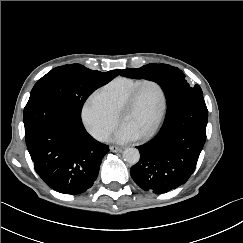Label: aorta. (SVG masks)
<instances>
[{
    "mask_svg": "<svg viewBox=\"0 0 243 243\" xmlns=\"http://www.w3.org/2000/svg\"><path fill=\"white\" fill-rule=\"evenodd\" d=\"M123 159H124V161H126L127 163H129L131 165L138 163V161L140 159L139 150L136 148H126L123 151Z\"/></svg>",
    "mask_w": 243,
    "mask_h": 243,
    "instance_id": "1",
    "label": "aorta"
}]
</instances>
